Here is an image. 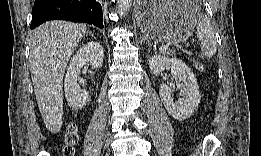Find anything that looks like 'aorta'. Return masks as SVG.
I'll use <instances>...</instances> for the list:
<instances>
[{
  "label": "aorta",
  "mask_w": 261,
  "mask_h": 156,
  "mask_svg": "<svg viewBox=\"0 0 261 156\" xmlns=\"http://www.w3.org/2000/svg\"><path fill=\"white\" fill-rule=\"evenodd\" d=\"M132 1L131 0H118L117 3V9L118 13L120 15H125L126 12L129 10L131 7Z\"/></svg>",
  "instance_id": "obj_1"
}]
</instances>
